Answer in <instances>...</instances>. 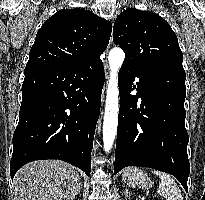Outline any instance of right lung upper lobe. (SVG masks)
<instances>
[{
  "instance_id": "cb5924a9",
  "label": "right lung upper lobe",
  "mask_w": 205,
  "mask_h": 200,
  "mask_svg": "<svg viewBox=\"0 0 205 200\" xmlns=\"http://www.w3.org/2000/svg\"><path fill=\"white\" fill-rule=\"evenodd\" d=\"M112 25L83 8L62 9L39 29L26 67H78L100 59Z\"/></svg>"
}]
</instances>
